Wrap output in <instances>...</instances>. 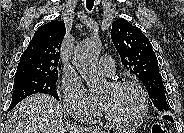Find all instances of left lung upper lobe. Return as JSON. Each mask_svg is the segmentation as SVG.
<instances>
[{"instance_id":"1","label":"left lung upper lobe","mask_w":184,"mask_h":133,"mask_svg":"<svg viewBox=\"0 0 184 133\" xmlns=\"http://www.w3.org/2000/svg\"><path fill=\"white\" fill-rule=\"evenodd\" d=\"M111 38L122 64L142 81L154 106L169 111L158 60L148 38L125 19L112 23Z\"/></svg>"}]
</instances>
